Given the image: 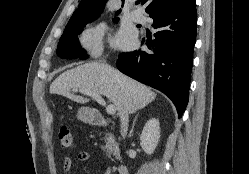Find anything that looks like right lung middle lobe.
Here are the masks:
<instances>
[{
  "label": "right lung middle lobe",
  "mask_w": 249,
  "mask_h": 174,
  "mask_svg": "<svg viewBox=\"0 0 249 174\" xmlns=\"http://www.w3.org/2000/svg\"><path fill=\"white\" fill-rule=\"evenodd\" d=\"M118 19L115 18L114 21ZM93 20L81 21L77 23L67 24L65 30L59 40L57 47V55L64 59H87L88 55L81 48L78 40V35L82 32L86 24Z\"/></svg>",
  "instance_id": "dd1d6c3e"
}]
</instances>
